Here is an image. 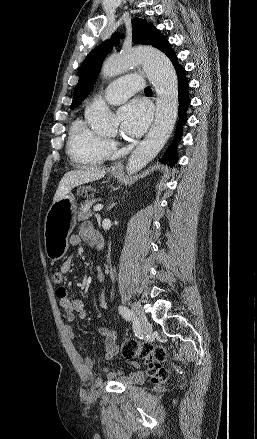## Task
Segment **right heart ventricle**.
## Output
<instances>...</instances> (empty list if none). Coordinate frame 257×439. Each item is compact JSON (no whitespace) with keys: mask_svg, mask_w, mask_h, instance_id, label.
<instances>
[{"mask_svg":"<svg viewBox=\"0 0 257 439\" xmlns=\"http://www.w3.org/2000/svg\"><path fill=\"white\" fill-rule=\"evenodd\" d=\"M67 147L74 163L81 167L98 166L106 157L105 139L82 121L71 126Z\"/></svg>","mask_w":257,"mask_h":439,"instance_id":"1","label":"right heart ventricle"}]
</instances>
